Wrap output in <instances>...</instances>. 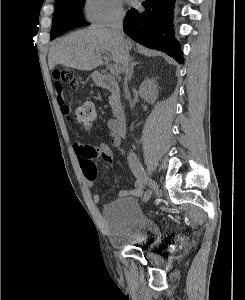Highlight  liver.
<instances>
[{"mask_svg": "<svg viewBox=\"0 0 245 300\" xmlns=\"http://www.w3.org/2000/svg\"><path fill=\"white\" fill-rule=\"evenodd\" d=\"M129 49L132 46L130 40ZM109 53L111 59L124 71V52L119 39L112 29H86L73 32L57 40L50 48L48 65L53 69L57 64L90 71L101 65L102 55Z\"/></svg>", "mask_w": 245, "mask_h": 300, "instance_id": "6515ba94", "label": "liver"}]
</instances>
